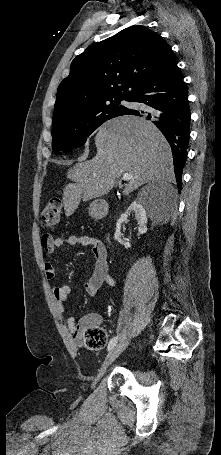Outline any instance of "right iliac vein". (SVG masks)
Returning <instances> with one entry per match:
<instances>
[{
  "label": "right iliac vein",
  "mask_w": 221,
  "mask_h": 455,
  "mask_svg": "<svg viewBox=\"0 0 221 455\" xmlns=\"http://www.w3.org/2000/svg\"><path fill=\"white\" fill-rule=\"evenodd\" d=\"M129 342L126 341H121L116 347H114L107 357L105 358L101 368L99 369V372L93 381V386L96 385L98 380L104 375L106 372L107 368L113 363V361L123 352V350L128 346Z\"/></svg>",
  "instance_id": "right-iliac-vein-1"
}]
</instances>
